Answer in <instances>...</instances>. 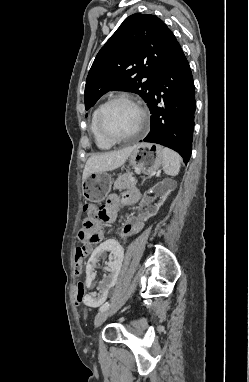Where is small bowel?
Instances as JSON below:
<instances>
[{"mask_svg":"<svg viewBox=\"0 0 249 382\" xmlns=\"http://www.w3.org/2000/svg\"><path fill=\"white\" fill-rule=\"evenodd\" d=\"M138 200L136 194H123L116 195L112 194L108 197L105 205L101 207L102 214L99 219H89L85 218L82 222V226L78 231V240L83 244L82 247L77 248L76 253L80 248H83L86 252L87 250H95V243L101 238L100 221L102 222H112L117 218L119 205H134ZM143 226V219L141 216L132 215L127 218L121 234L124 237H130L137 233ZM76 300V298H75ZM80 304L81 301H77Z\"/></svg>","mask_w":249,"mask_h":382,"instance_id":"obj_1","label":"small bowel"}]
</instances>
